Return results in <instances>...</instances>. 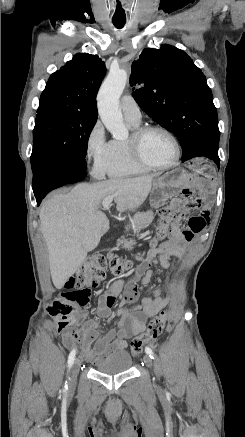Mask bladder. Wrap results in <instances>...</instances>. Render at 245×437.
I'll use <instances>...</instances> for the list:
<instances>
[{
	"label": "bladder",
	"instance_id": "obj_1",
	"mask_svg": "<svg viewBox=\"0 0 245 437\" xmlns=\"http://www.w3.org/2000/svg\"><path fill=\"white\" fill-rule=\"evenodd\" d=\"M132 364L131 355L127 351H119L97 361L94 368L101 373L116 374L129 370Z\"/></svg>",
	"mask_w": 245,
	"mask_h": 437
}]
</instances>
